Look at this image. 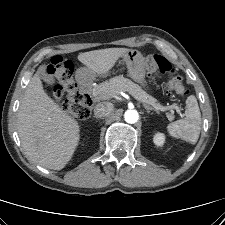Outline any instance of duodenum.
<instances>
[{
    "mask_svg": "<svg viewBox=\"0 0 225 225\" xmlns=\"http://www.w3.org/2000/svg\"><path fill=\"white\" fill-rule=\"evenodd\" d=\"M80 90L88 97L91 104L93 103L92 97L89 94L90 84H88L85 80H78Z\"/></svg>",
    "mask_w": 225,
    "mask_h": 225,
    "instance_id": "obj_1",
    "label": "duodenum"
}]
</instances>
